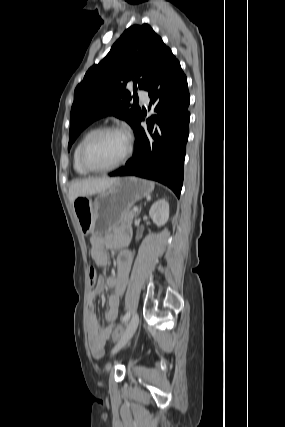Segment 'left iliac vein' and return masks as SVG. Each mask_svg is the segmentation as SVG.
<instances>
[{"label":"left iliac vein","mask_w":285,"mask_h":427,"mask_svg":"<svg viewBox=\"0 0 285 427\" xmlns=\"http://www.w3.org/2000/svg\"><path fill=\"white\" fill-rule=\"evenodd\" d=\"M138 324H139V316L135 312L126 327L123 337L121 338L117 346L113 349V353L117 352L119 349L123 348L127 344V342L131 339V337L135 333L138 327Z\"/></svg>","instance_id":"obj_1"}]
</instances>
